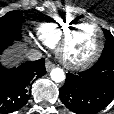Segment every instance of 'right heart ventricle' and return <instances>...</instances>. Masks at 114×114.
<instances>
[{"mask_svg":"<svg viewBox=\"0 0 114 114\" xmlns=\"http://www.w3.org/2000/svg\"><path fill=\"white\" fill-rule=\"evenodd\" d=\"M75 22L74 16H64L46 21L36 28V37L47 47H57L63 35Z\"/></svg>","mask_w":114,"mask_h":114,"instance_id":"right-heart-ventricle-1","label":"right heart ventricle"}]
</instances>
